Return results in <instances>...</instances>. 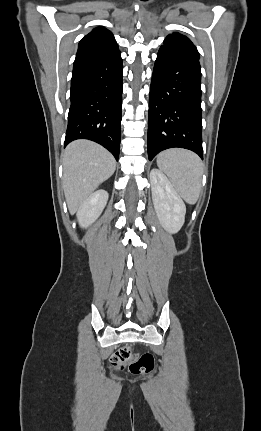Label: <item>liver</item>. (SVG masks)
Returning a JSON list of instances; mask_svg holds the SVG:
<instances>
[{
	"label": "liver",
	"instance_id": "liver-1",
	"mask_svg": "<svg viewBox=\"0 0 261 431\" xmlns=\"http://www.w3.org/2000/svg\"><path fill=\"white\" fill-rule=\"evenodd\" d=\"M63 188L71 214L79 210L87 198L116 168L112 154L89 140H76L65 149Z\"/></svg>",
	"mask_w": 261,
	"mask_h": 431
}]
</instances>
